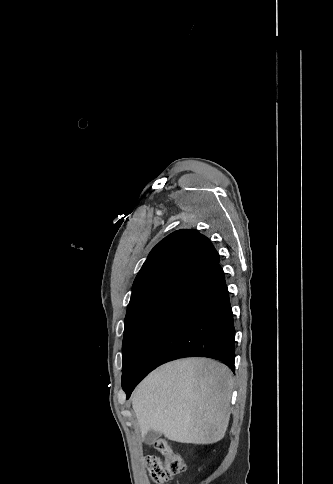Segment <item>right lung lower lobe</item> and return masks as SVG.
<instances>
[{"mask_svg":"<svg viewBox=\"0 0 333 484\" xmlns=\"http://www.w3.org/2000/svg\"><path fill=\"white\" fill-rule=\"evenodd\" d=\"M235 329L221 266L211 268L170 293L148 323L127 384L135 386L157 366L181 357H209L235 371Z\"/></svg>","mask_w":333,"mask_h":484,"instance_id":"1","label":"right lung lower lobe"}]
</instances>
